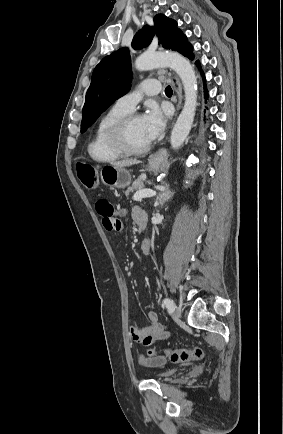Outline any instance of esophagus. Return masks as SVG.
I'll return each mask as SVG.
<instances>
[{
	"label": "esophagus",
	"instance_id": "1",
	"mask_svg": "<svg viewBox=\"0 0 283 434\" xmlns=\"http://www.w3.org/2000/svg\"><path fill=\"white\" fill-rule=\"evenodd\" d=\"M176 91H177V97H178V102H177V111L180 109L181 103H182V99H183V95H182V87H181V83L178 79H176ZM167 158V151L165 149H159L156 153L153 154L152 159L156 160V161H161Z\"/></svg>",
	"mask_w": 283,
	"mask_h": 434
}]
</instances>
